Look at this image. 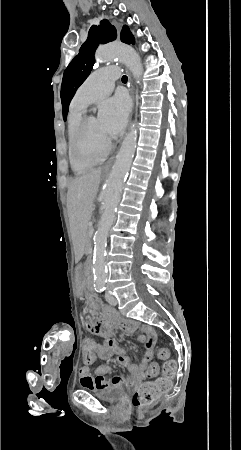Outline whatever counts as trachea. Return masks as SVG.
I'll use <instances>...</instances> for the list:
<instances>
[{
	"label": "trachea",
	"mask_w": 241,
	"mask_h": 450,
	"mask_svg": "<svg viewBox=\"0 0 241 450\" xmlns=\"http://www.w3.org/2000/svg\"><path fill=\"white\" fill-rule=\"evenodd\" d=\"M122 81H127V76L126 75H123Z\"/></svg>",
	"instance_id": "3493384b"
}]
</instances>
